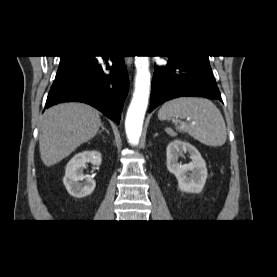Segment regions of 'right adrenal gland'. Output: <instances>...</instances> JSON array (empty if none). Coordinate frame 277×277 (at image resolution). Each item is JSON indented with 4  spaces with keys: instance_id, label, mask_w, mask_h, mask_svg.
Instances as JSON below:
<instances>
[{
    "instance_id": "obj_1",
    "label": "right adrenal gland",
    "mask_w": 277,
    "mask_h": 277,
    "mask_svg": "<svg viewBox=\"0 0 277 277\" xmlns=\"http://www.w3.org/2000/svg\"><path fill=\"white\" fill-rule=\"evenodd\" d=\"M101 127H102V129L99 131V134L104 130L106 131L107 134H109V131L103 125Z\"/></svg>"
}]
</instances>
